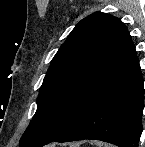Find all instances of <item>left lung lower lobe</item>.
<instances>
[{"label":"left lung lower lobe","instance_id":"left-lung-lower-lobe-1","mask_svg":"<svg viewBox=\"0 0 145 147\" xmlns=\"http://www.w3.org/2000/svg\"><path fill=\"white\" fill-rule=\"evenodd\" d=\"M143 108L141 69L135 46L123 26L72 123L50 142L95 139L119 147H137Z\"/></svg>","mask_w":145,"mask_h":147}]
</instances>
